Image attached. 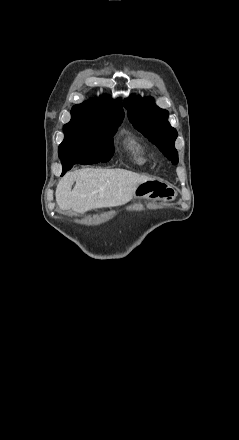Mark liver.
I'll return each mask as SVG.
<instances>
[{
  "mask_svg": "<svg viewBox=\"0 0 239 440\" xmlns=\"http://www.w3.org/2000/svg\"><path fill=\"white\" fill-rule=\"evenodd\" d=\"M152 178L128 170H95L83 168L68 172L57 184L55 198L60 210L73 208L85 214L95 208H114L132 200L140 184ZM75 188L72 190V186Z\"/></svg>",
  "mask_w": 239,
  "mask_h": 440,
  "instance_id": "obj_1",
  "label": "liver"
}]
</instances>
